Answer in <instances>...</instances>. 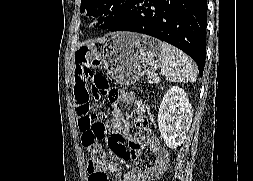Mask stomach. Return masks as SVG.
Masks as SVG:
<instances>
[{
	"mask_svg": "<svg viewBox=\"0 0 253 181\" xmlns=\"http://www.w3.org/2000/svg\"><path fill=\"white\" fill-rule=\"evenodd\" d=\"M102 61L116 83L132 85L161 66L160 41L147 35L119 32L104 44Z\"/></svg>",
	"mask_w": 253,
	"mask_h": 181,
	"instance_id": "obj_1",
	"label": "stomach"
}]
</instances>
